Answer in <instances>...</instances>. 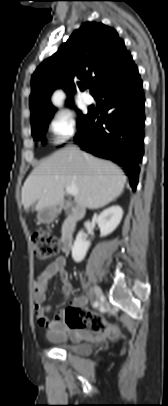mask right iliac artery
I'll list each match as a JSON object with an SVG mask.
<instances>
[{
  "instance_id": "right-iliac-artery-1",
  "label": "right iliac artery",
  "mask_w": 168,
  "mask_h": 406,
  "mask_svg": "<svg viewBox=\"0 0 168 406\" xmlns=\"http://www.w3.org/2000/svg\"><path fill=\"white\" fill-rule=\"evenodd\" d=\"M96 305H97V302L94 303V306H96Z\"/></svg>"
}]
</instances>
